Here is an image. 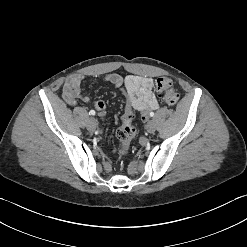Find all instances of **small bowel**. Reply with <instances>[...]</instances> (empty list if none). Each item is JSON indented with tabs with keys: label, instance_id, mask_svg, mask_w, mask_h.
<instances>
[{
	"label": "small bowel",
	"instance_id": "obj_1",
	"mask_svg": "<svg viewBox=\"0 0 247 247\" xmlns=\"http://www.w3.org/2000/svg\"><path fill=\"white\" fill-rule=\"evenodd\" d=\"M108 76H105L104 81L111 83L108 80ZM123 84L127 85L129 91L126 95L127 103L132 109L138 110L142 114V119L146 118L149 111L157 109L159 103L153 93L154 81L149 77L127 75L122 77L118 75ZM83 76L74 74L69 76L63 85V98L67 104L74 106L78 101L89 102L88 96L83 94L80 89ZM93 106L98 111L101 118L105 116V103L102 100L93 102Z\"/></svg>",
	"mask_w": 247,
	"mask_h": 247
}]
</instances>
